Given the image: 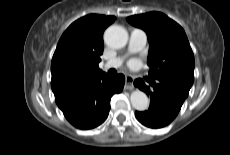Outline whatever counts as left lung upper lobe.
I'll list each match as a JSON object with an SVG mask.
<instances>
[{"label": "left lung upper lobe", "instance_id": "obj_1", "mask_svg": "<svg viewBox=\"0 0 230 155\" xmlns=\"http://www.w3.org/2000/svg\"><path fill=\"white\" fill-rule=\"evenodd\" d=\"M143 29L150 49L149 76L159 82L182 88L189 93L194 81V55L183 28L163 13L150 12L127 17Z\"/></svg>", "mask_w": 230, "mask_h": 155}]
</instances>
